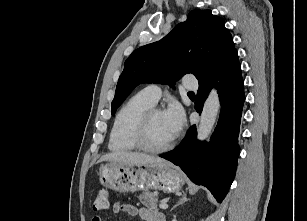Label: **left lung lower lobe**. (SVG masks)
Wrapping results in <instances>:
<instances>
[{"instance_id": "1", "label": "left lung lower lobe", "mask_w": 307, "mask_h": 221, "mask_svg": "<svg viewBox=\"0 0 307 221\" xmlns=\"http://www.w3.org/2000/svg\"><path fill=\"white\" fill-rule=\"evenodd\" d=\"M212 87L218 89L221 113L209 143L196 139L193 125L181 144L160 157L178 165L197 185L207 187L219 203L235 176L239 154L238 134L245 101L244 84L237 51L211 77L199 82L195 103L197 112Z\"/></svg>"}]
</instances>
